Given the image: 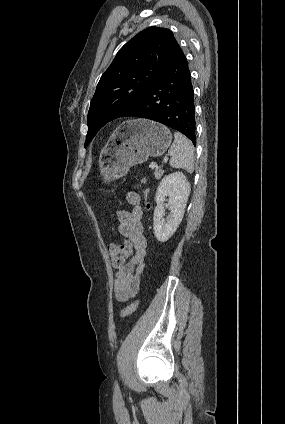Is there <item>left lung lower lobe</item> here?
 I'll use <instances>...</instances> for the list:
<instances>
[{
  "label": "left lung lower lobe",
  "instance_id": "0a47b994",
  "mask_svg": "<svg viewBox=\"0 0 285 424\" xmlns=\"http://www.w3.org/2000/svg\"><path fill=\"white\" fill-rule=\"evenodd\" d=\"M118 117L162 123L183 133L195 145L194 91L188 62L179 45L159 77Z\"/></svg>",
  "mask_w": 285,
  "mask_h": 424
}]
</instances>
